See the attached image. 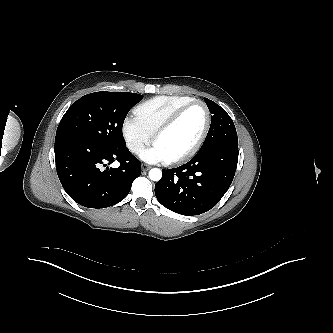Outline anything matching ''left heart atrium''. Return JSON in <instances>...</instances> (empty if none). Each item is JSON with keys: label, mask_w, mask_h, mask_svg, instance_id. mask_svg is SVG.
I'll use <instances>...</instances> for the list:
<instances>
[{"label": "left heart atrium", "mask_w": 333, "mask_h": 333, "mask_svg": "<svg viewBox=\"0 0 333 333\" xmlns=\"http://www.w3.org/2000/svg\"><path fill=\"white\" fill-rule=\"evenodd\" d=\"M140 157L150 163H156L167 160L162 150L155 144L153 147L144 150Z\"/></svg>", "instance_id": "obj_1"}]
</instances>
